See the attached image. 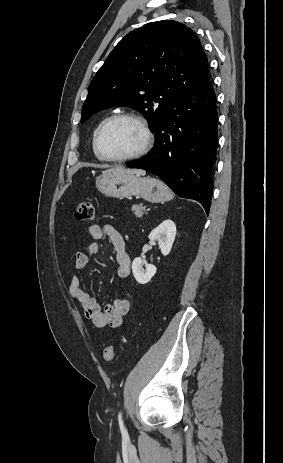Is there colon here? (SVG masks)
<instances>
[{
	"instance_id": "1",
	"label": "colon",
	"mask_w": 283,
	"mask_h": 463,
	"mask_svg": "<svg viewBox=\"0 0 283 463\" xmlns=\"http://www.w3.org/2000/svg\"><path fill=\"white\" fill-rule=\"evenodd\" d=\"M75 218L79 221H92L95 218V207L89 201H82L75 210ZM115 357V347L107 346L103 351V359L106 362L113 361Z\"/></svg>"
}]
</instances>
